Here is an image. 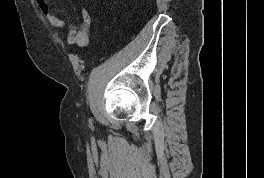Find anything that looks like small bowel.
I'll use <instances>...</instances> for the list:
<instances>
[{
  "label": "small bowel",
  "instance_id": "small-bowel-1",
  "mask_svg": "<svg viewBox=\"0 0 264 178\" xmlns=\"http://www.w3.org/2000/svg\"><path fill=\"white\" fill-rule=\"evenodd\" d=\"M36 3L51 26L59 29L65 28V22L53 12L52 5L48 2V0H36ZM74 30V27H70L69 32Z\"/></svg>",
  "mask_w": 264,
  "mask_h": 178
}]
</instances>
